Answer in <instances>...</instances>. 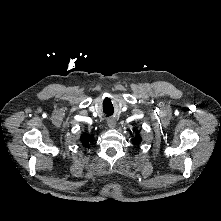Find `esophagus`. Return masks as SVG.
<instances>
[{"label":"esophagus","instance_id":"1","mask_svg":"<svg viewBox=\"0 0 221 221\" xmlns=\"http://www.w3.org/2000/svg\"><path fill=\"white\" fill-rule=\"evenodd\" d=\"M107 123H108L109 128H111V129L115 128V126H116L115 119H109Z\"/></svg>","mask_w":221,"mask_h":221}]
</instances>
